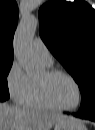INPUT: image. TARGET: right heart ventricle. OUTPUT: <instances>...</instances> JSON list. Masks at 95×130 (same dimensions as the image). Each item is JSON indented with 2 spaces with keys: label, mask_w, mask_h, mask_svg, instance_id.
I'll list each match as a JSON object with an SVG mask.
<instances>
[{
  "label": "right heart ventricle",
  "mask_w": 95,
  "mask_h": 130,
  "mask_svg": "<svg viewBox=\"0 0 95 130\" xmlns=\"http://www.w3.org/2000/svg\"><path fill=\"white\" fill-rule=\"evenodd\" d=\"M25 105L31 108L39 109H51L52 107L48 105L42 98L38 86V81L32 80L30 92L28 94Z\"/></svg>",
  "instance_id": "e07e8e85"
}]
</instances>
